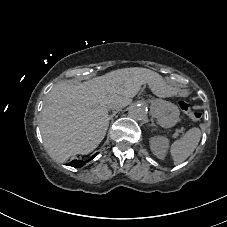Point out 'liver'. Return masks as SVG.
Listing matches in <instances>:
<instances>
[{
	"mask_svg": "<svg viewBox=\"0 0 227 227\" xmlns=\"http://www.w3.org/2000/svg\"><path fill=\"white\" fill-rule=\"evenodd\" d=\"M151 75L157 76L146 68H123L79 85H55L47 95L40 121L48 154L65 162L72 155L91 153L107 132L111 97L135 96Z\"/></svg>",
	"mask_w": 227,
	"mask_h": 227,
	"instance_id": "1",
	"label": "liver"
}]
</instances>
